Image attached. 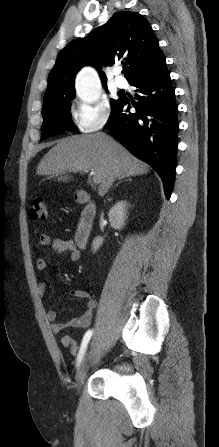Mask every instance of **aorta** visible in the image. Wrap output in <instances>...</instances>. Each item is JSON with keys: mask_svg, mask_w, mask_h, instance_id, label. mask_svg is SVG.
I'll return each instance as SVG.
<instances>
[{"mask_svg": "<svg viewBox=\"0 0 219 447\" xmlns=\"http://www.w3.org/2000/svg\"><path fill=\"white\" fill-rule=\"evenodd\" d=\"M76 91L80 100L85 103L94 104L99 100L100 90L97 83V75L92 68H83L78 73Z\"/></svg>", "mask_w": 219, "mask_h": 447, "instance_id": "obj_1", "label": "aorta"}]
</instances>
